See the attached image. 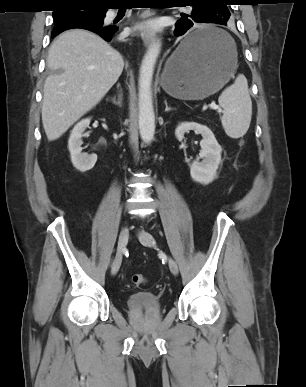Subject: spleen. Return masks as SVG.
<instances>
[{"label": "spleen", "instance_id": "obj_1", "mask_svg": "<svg viewBox=\"0 0 306 387\" xmlns=\"http://www.w3.org/2000/svg\"><path fill=\"white\" fill-rule=\"evenodd\" d=\"M218 102L223 108L221 123L225 133L234 139L245 135L252 117V101L246 77L239 74L235 82L221 93Z\"/></svg>", "mask_w": 306, "mask_h": 387}]
</instances>
